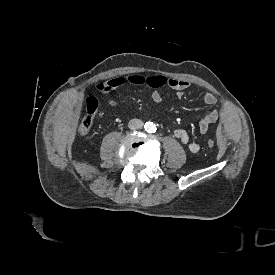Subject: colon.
<instances>
[{
	"instance_id": "1",
	"label": "colon",
	"mask_w": 275,
	"mask_h": 275,
	"mask_svg": "<svg viewBox=\"0 0 275 275\" xmlns=\"http://www.w3.org/2000/svg\"><path fill=\"white\" fill-rule=\"evenodd\" d=\"M98 105V101L95 97L92 96L87 99L86 113L78 126V130L80 133H87L93 127L95 121V113L98 110ZM204 146L206 149L212 150L215 146V143L213 140L208 139L205 141Z\"/></svg>"
}]
</instances>
